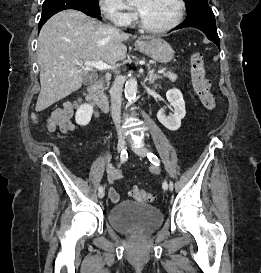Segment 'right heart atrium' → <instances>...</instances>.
Wrapping results in <instances>:
<instances>
[{"label": "right heart atrium", "instance_id": "1", "mask_svg": "<svg viewBox=\"0 0 261 273\" xmlns=\"http://www.w3.org/2000/svg\"><path fill=\"white\" fill-rule=\"evenodd\" d=\"M101 10L106 19L120 27L131 23L134 12L123 0H100Z\"/></svg>", "mask_w": 261, "mask_h": 273}]
</instances>
